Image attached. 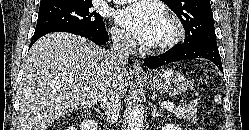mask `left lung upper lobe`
Masks as SVG:
<instances>
[{
	"mask_svg": "<svg viewBox=\"0 0 249 130\" xmlns=\"http://www.w3.org/2000/svg\"><path fill=\"white\" fill-rule=\"evenodd\" d=\"M181 20L185 30L183 44L216 43L210 0H162Z\"/></svg>",
	"mask_w": 249,
	"mask_h": 130,
	"instance_id": "left-lung-upper-lobe-1",
	"label": "left lung upper lobe"
}]
</instances>
